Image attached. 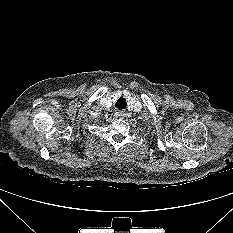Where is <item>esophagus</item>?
<instances>
[{
	"label": "esophagus",
	"instance_id": "esophagus-1",
	"mask_svg": "<svg viewBox=\"0 0 233 233\" xmlns=\"http://www.w3.org/2000/svg\"><path fill=\"white\" fill-rule=\"evenodd\" d=\"M125 115H126L125 110H120V111L118 112V116H119V117H124Z\"/></svg>",
	"mask_w": 233,
	"mask_h": 233
}]
</instances>
